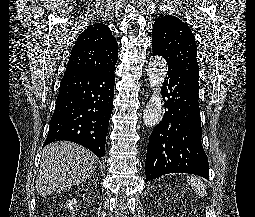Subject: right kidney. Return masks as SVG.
Instances as JSON below:
<instances>
[{
  "mask_svg": "<svg viewBox=\"0 0 255 217\" xmlns=\"http://www.w3.org/2000/svg\"><path fill=\"white\" fill-rule=\"evenodd\" d=\"M76 204H77V200L75 198L69 200L67 203H66V207L70 210H73L75 207H76Z\"/></svg>",
  "mask_w": 255,
  "mask_h": 217,
  "instance_id": "obj_1",
  "label": "right kidney"
}]
</instances>
